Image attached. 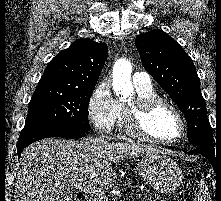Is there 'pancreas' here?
Segmentation results:
<instances>
[{
    "instance_id": "1",
    "label": "pancreas",
    "mask_w": 221,
    "mask_h": 201,
    "mask_svg": "<svg viewBox=\"0 0 221 201\" xmlns=\"http://www.w3.org/2000/svg\"><path fill=\"white\" fill-rule=\"evenodd\" d=\"M150 197H148V196H145V201H157V200H159L160 198L158 197V196H152V194H150L149 195ZM104 201V200H103ZM105 201H108V199L107 200H105Z\"/></svg>"
}]
</instances>
